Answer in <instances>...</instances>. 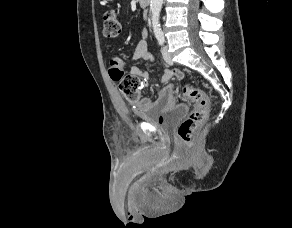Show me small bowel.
<instances>
[{
  "mask_svg": "<svg viewBox=\"0 0 292 228\" xmlns=\"http://www.w3.org/2000/svg\"><path fill=\"white\" fill-rule=\"evenodd\" d=\"M131 59L134 61L144 60L153 62V57L148 51V46L145 38L141 39L131 54ZM121 60V59H120ZM124 66V61L121 60V68ZM128 75L136 76L142 81V87H146L149 83V73L139 66H133ZM173 76L183 78L184 74L181 70L175 68L173 70H165L161 77V82L165 86L160 90L155 98L143 97L134 102L132 106L134 112L140 116L157 115L158 113L168 109L175 102V88L169 83Z\"/></svg>",
  "mask_w": 292,
  "mask_h": 228,
  "instance_id": "c3829d8e",
  "label": "small bowel"
}]
</instances>
